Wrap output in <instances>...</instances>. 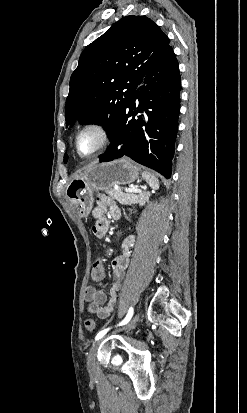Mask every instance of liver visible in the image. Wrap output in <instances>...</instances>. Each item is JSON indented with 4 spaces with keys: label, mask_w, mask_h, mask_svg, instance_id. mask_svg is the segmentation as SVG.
Returning a JSON list of instances; mask_svg holds the SVG:
<instances>
[{
    "label": "liver",
    "mask_w": 247,
    "mask_h": 413,
    "mask_svg": "<svg viewBox=\"0 0 247 413\" xmlns=\"http://www.w3.org/2000/svg\"><path fill=\"white\" fill-rule=\"evenodd\" d=\"M84 168H88V166H84ZM84 168H81V170H84ZM81 170H77V172L80 174ZM74 176H77V174H74Z\"/></svg>",
    "instance_id": "liver-1"
}]
</instances>
